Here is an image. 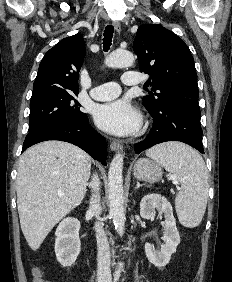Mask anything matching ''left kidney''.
Segmentation results:
<instances>
[{"label":"left kidney","instance_id":"obj_1","mask_svg":"<svg viewBox=\"0 0 232 282\" xmlns=\"http://www.w3.org/2000/svg\"><path fill=\"white\" fill-rule=\"evenodd\" d=\"M155 210L164 214L165 217L163 233L165 244L161 247V251H157L150 243H146L145 252L150 263L156 267H164L169 263L171 255L176 252V248L180 243V236L170 202L160 194L145 195L140 203L141 217L150 219L154 216Z\"/></svg>","mask_w":232,"mask_h":282}]
</instances>
